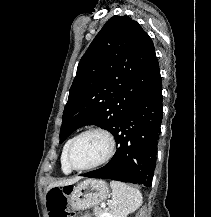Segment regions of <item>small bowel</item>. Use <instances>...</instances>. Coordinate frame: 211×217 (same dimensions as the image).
Here are the masks:
<instances>
[{
    "mask_svg": "<svg viewBox=\"0 0 211 217\" xmlns=\"http://www.w3.org/2000/svg\"><path fill=\"white\" fill-rule=\"evenodd\" d=\"M82 217H90L89 215H84V216H82Z\"/></svg>",
    "mask_w": 211,
    "mask_h": 217,
    "instance_id": "obj_1",
    "label": "small bowel"
}]
</instances>
